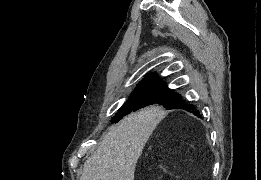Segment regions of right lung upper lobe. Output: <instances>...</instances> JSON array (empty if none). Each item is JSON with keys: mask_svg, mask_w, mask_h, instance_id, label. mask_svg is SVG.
Segmentation results:
<instances>
[{"mask_svg": "<svg viewBox=\"0 0 261 180\" xmlns=\"http://www.w3.org/2000/svg\"><path fill=\"white\" fill-rule=\"evenodd\" d=\"M154 74H150L148 76V78L144 79L140 84L139 86H149V85H154V84H159V83H164V82H161L159 79L157 78H153ZM138 86V87H139Z\"/></svg>", "mask_w": 261, "mask_h": 180, "instance_id": "1", "label": "right lung upper lobe"}]
</instances>
